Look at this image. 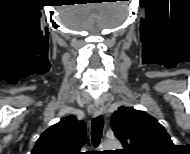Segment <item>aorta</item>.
I'll return each mask as SVG.
<instances>
[{
	"label": "aorta",
	"mask_w": 190,
	"mask_h": 154,
	"mask_svg": "<svg viewBox=\"0 0 190 154\" xmlns=\"http://www.w3.org/2000/svg\"><path fill=\"white\" fill-rule=\"evenodd\" d=\"M121 147V143L117 139H107L103 141L100 145L102 150H116Z\"/></svg>",
	"instance_id": "1"
}]
</instances>
